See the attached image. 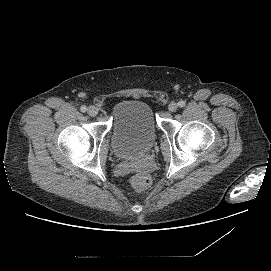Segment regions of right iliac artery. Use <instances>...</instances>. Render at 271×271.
Returning <instances> with one entry per match:
<instances>
[{
	"label": "right iliac artery",
	"mask_w": 271,
	"mask_h": 271,
	"mask_svg": "<svg viewBox=\"0 0 271 271\" xmlns=\"http://www.w3.org/2000/svg\"><path fill=\"white\" fill-rule=\"evenodd\" d=\"M80 110H81V112H86L87 111V107L86 106H81Z\"/></svg>",
	"instance_id": "1"
}]
</instances>
